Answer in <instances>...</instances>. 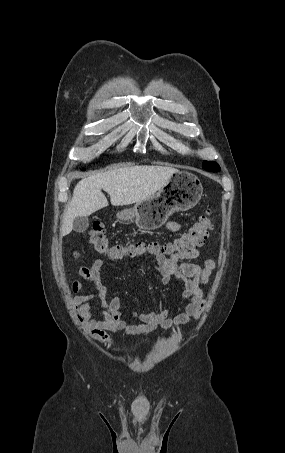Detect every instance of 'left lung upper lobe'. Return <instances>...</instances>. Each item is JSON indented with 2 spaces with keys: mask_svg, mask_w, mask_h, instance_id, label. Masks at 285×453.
I'll list each match as a JSON object with an SVG mask.
<instances>
[{
  "mask_svg": "<svg viewBox=\"0 0 285 453\" xmlns=\"http://www.w3.org/2000/svg\"><path fill=\"white\" fill-rule=\"evenodd\" d=\"M202 167L205 169V170H208V171H219L220 170V167L217 163L215 162H208V161H204L202 163Z\"/></svg>",
  "mask_w": 285,
  "mask_h": 453,
  "instance_id": "5c2ea615",
  "label": "left lung upper lobe"
}]
</instances>
